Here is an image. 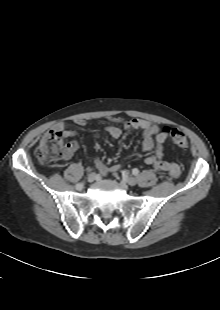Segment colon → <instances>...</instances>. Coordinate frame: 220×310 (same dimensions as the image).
<instances>
[{
    "instance_id": "5ec220e1",
    "label": "colon",
    "mask_w": 220,
    "mask_h": 310,
    "mask_svg": "<svg viewBox=\"0 0 220 310\" xmlns=\"http://www.w3.org/2000/svg\"><path fill=\"white\" fill-rule=\"evenodd\" d=\"M163 132L167 133L173 143L181 149L188 148V140L185 133L178 128H164ZM68 153L67 144L61 131L51 129L47 131L38 145L35 155L41 163H55L64 158Z\"/></svg>"
}]
</instances>
